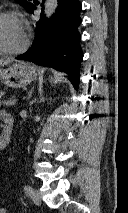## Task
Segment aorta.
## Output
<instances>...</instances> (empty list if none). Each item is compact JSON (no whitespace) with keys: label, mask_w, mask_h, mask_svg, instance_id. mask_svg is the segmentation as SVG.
<instances>
[{"label":"aorta","mask_w":128,"mask_h":213,"mask_svg":"<svg viewBox=\"0 0 128 213\" xmlns=\"http://www.w3.org/2000/svg\"><path fill=\"white\" fill-rule=\"evenodd\" d=\"M58 6V0H46L45 1V7H44V13L46 15V17H51Z\"/></svg>","instance_id":"1"}]
</instances>
